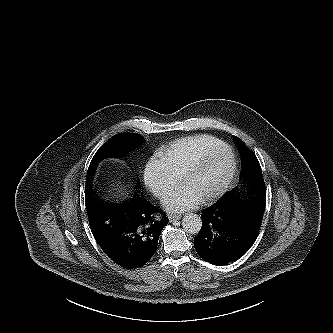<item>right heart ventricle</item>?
Wrapping results in <instances>:
<instances>
[{
    "mask_svg": "<svg viewBox=\"0 0 333 333\" xmlns=\"http://www.w3.org/2000/svg\"><path fill=\"white\" fill-rule=\"evenodd\" d=\"M224 144L214 136L201 134L177 139L160 151L170 170L176 176H181L185 169L206 151Z\"/></svg>",
    "mask_w": 333,
    "mask_h": 333,
    "instance_id": "e07e8e85",
    "label": "right heart ventricle"
}]
</instances>
